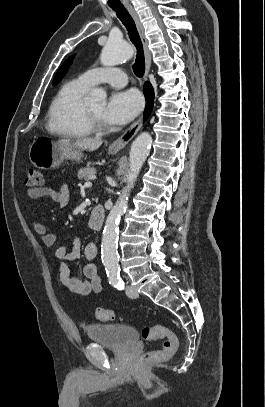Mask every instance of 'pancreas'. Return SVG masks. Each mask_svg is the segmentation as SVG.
<instances>
[{
  "mask_svg": "<svg viewBox=\"0 0 265 407\" xmlns=\"http://www.w3.org/2000/svg\"><path fill=\"white\" fill-rule=\"evenodd\" d=\"M96 174V168L94 167H86V168H82L78 171V179L79 180H90L92 179V177Z\"/></svg>",
  "mask_w": 265,
  "mask_h": 407,
  "instance_id": "pancreas-1",
  "label": "pancreas"
}]
</instances>
